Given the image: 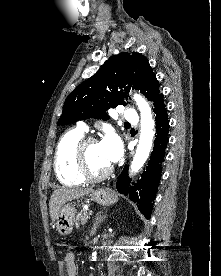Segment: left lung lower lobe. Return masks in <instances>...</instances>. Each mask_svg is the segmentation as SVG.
<instances>
[{"label": "left lung lower lobe", "mask_w": 221, "mask_h": 276, "mask_svg": "<svg viewBox=\"0 0 221 276\" xmlns=\"http://www.w3.org/2000/svg\"><path fill=\"white\" fill-rule=\"evenodd\" d=\"M153 111L155 113L156 138L141 179L134 186H130L128 166H126L116 181L117 191L127 195L131 201L136 203L140 212L148 219L151 217L152 201L156 197L162 172L161 164L164 161L165 149L168 143L169 120L162 94L154 100Z\"/></svg>", "instance_id": "1"}]
</instances>
